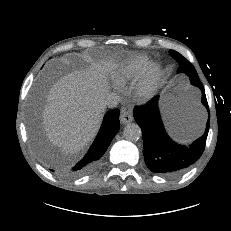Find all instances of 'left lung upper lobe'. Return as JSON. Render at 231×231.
Instances as JSON below:
<instances>
[{
	"label": "left lung upper lobe",
	"instance_id": "1",
	"mask_svg": "<svg viewBox=\"0 0 231 231\" xmlns=\"http://www.w3.org/2000/svg\"><path fill=\"white\" fill-rule=\"evenodd\" d=\"M169 53L179 64L178 73H186L190 77L191 81H199L195 68L188 60L174 50H170Z\"/></svg>",
	"mask_w": 231,
	"mask_h": 231
}]
</instances>
